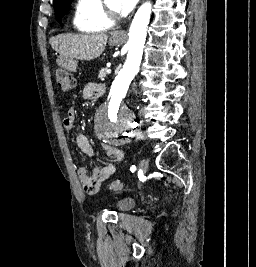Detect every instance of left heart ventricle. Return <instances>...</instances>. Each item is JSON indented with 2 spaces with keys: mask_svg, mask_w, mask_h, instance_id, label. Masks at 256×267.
Returning a JSON list of instances; mask_svg holds the SVG:
<instances>
[{
  "mask_svg": "<svg viewBox=\"0 0 256 267\" xmlns=\"http://www.w3.org/2000/svg\"><path fill=\"white\" fill-rule=\"evenodd\" d=\"M110 5H111V7H113V8L116 6V4L114 3V1H110ZM112 26H113V22L110 21V22L104 24V25H103V28H104L105 30H108V29H110Z\"/></svg>",
  "mask_w": 256,
  "mask_h": 267,
  "instance_id": "b2bd125f",
  "label": "left heart ventricle"
}]
</instances>
